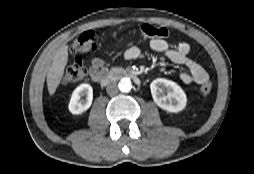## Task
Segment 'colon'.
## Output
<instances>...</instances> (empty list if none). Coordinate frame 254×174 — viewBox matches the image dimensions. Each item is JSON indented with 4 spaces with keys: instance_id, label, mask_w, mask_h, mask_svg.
<instances>
[{
    "instance_id": "colon-1",
    "label": "colon",
    "mask_w": 254,
    "mask_h": 174,
    "mask_svg": "<svg viewBox=\"0 0 254 174\" xmlns=\"http://www.w3.org/2000/svg\"><path fill=\"white\" fill-rule=\"evenodd\" d=\"M140 33L144 38L166 39L169 31L165 27L143 24ZM97 48V36L91 31L82 33L72 44L71 52L74 55V62L64 72L63 82L73 83L83 80L87 75L84 54L92 52ZM201 94L208 96L212 91V84L207 81L201 87Z\"/></svg>"
}]
</instances>
